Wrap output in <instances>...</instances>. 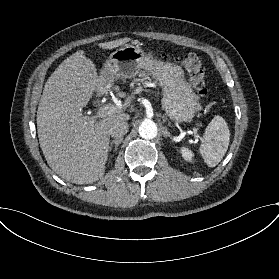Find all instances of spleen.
I'll return each instance as SVG.
<instances>
[{
    "label": "spleen",
    "instance_id": "3e777b00",
    "mask_svg": "<svg viewBox=\"0 0 279 279\" xmlns=\"http://www.w3.org/2000/svg\"><path fill=\"white\" fill-rule=\"evenodd\" d=\"M230 132L225 120L216 115L205 129L198 153L208 167H215L220 163L228 150Z\"/></svg>",
    "mask_w": 279,
    "mask_h": 279
}]
</instances>
